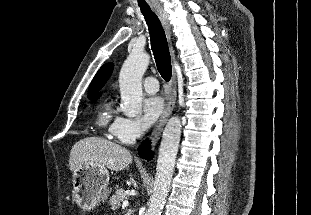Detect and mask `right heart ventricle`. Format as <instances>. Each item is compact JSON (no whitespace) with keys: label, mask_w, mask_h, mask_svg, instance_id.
I'll return each mask as SVG.
<instances>
[{"label":"right heart ventricle","mask_w":311,"mask_h":215,"mask_svg":"<svg viewBox=\"0 0 311 215\" xmlns=\"http://www.w3.org/2000/svg\"><path fill=\"white\" fill-rule=\"evenodd\" d=\"M119 117L115 115L112 104L106 103L98 113L97 122L101 127H107L111 133V128Z\"/></svg>","instance_id":"e07e8e85"}]
</instances>
